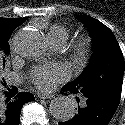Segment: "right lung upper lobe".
I'll list each match as a JSON object with an SVG mask.
<instances>
[{
	"label": "right lung upper lobe",
	"mask_w": 125,
	"mask_h": 125,
	"mask_svg": "<svg viewBox=\"0 0 125 125\" xmlns=\"http://www.w3.org/2000/svg\"><path fill=\"white\" fill-rule=\"evenodd\" d=\"M26 21V18L12 19V18H0V28L13 29V31L22 23Z\"/></svg>",
	"instance_id": "obj_1"
}]
</instances>
